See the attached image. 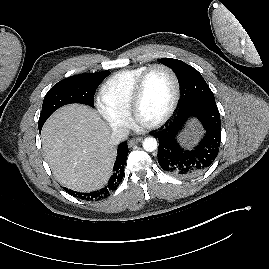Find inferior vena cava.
Masks as SVG:
<instances>
[{
	"label": "inferior vena cava",
	"instance_id": "obj_1",
	"mask_svg": "<svg viewBox=\"0 0 269 269\" xmlns=\"http://www.w3.org/2000/svg\"><path fill=\"white\" fill-rule=\"evenodd\" d=\"M129 130L126 128H117L114 129L110 136L111 144H118L122 141H125L128 138Z\"/></svg>",
	"mask_w": 269,
	"mask_h": 269
}]
</instances>
